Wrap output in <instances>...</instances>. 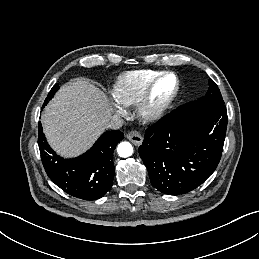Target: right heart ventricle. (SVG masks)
I'll list each match as a JSON object with an SVG mask.
<instances>
[{
	"label": "right heart ventricle",
	"instance_id": "1",
	"mask_svg": "<svg viewBox=\"0 0 259 259\" xmlns=\"http://www.w3.org/2000/svg\"><path fill=\"white\" fill-rule=\"evenodd\" d=\"M159 73L154 70H133L121 74L113 89L114 97L124 107L134 105L147 84Z\"/></svg>",
	"mask_w": 259,
	"mask_h": 259
}]
</instances>
